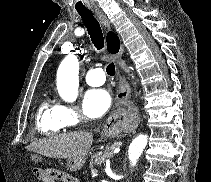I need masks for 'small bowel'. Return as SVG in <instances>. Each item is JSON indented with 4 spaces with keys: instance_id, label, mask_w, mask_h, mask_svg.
Wrapping results in <instances>:
<instances>
[{
    "instance_id": "obj_1",
    "label": "small bowel",
    "mask_w": 211,
    "mask_h": 182,
    "mask_svg": "<svg viewBox=\"0 0 211 182\" xmlns=\"http://www.w3.org/2000/svg\"><path fill=\"white\" fill-rule=\"evenodd\" d=\"M40 174L43 175L44 172L43 171H40ZM42 179V178H41ZM43 180V179H42ZM66 182H78L77 179L71 177L70 175H68V180Z\"/></svg>"
}]
</instances>
